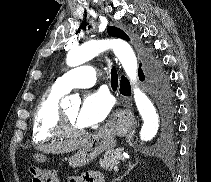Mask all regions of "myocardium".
Here are the masks:
<instances>
[{
	"mask_svg": "<svg viewBox=\"0 0 211 182\" xmlns=\"http://www.w3.org/2000/svg\"><path fill=\"white\" fill-rule=\"evenodd\" d=\"M56 131L62 137H79L85 134V130L74 128L69 122L64 109L60 108L56 119Z\"/></svg>",
	"mask_w": 211,
	"mask_h": 182,
	"instance_id": "obj_1",
	"label": "myocardium"
}]
</instances>
